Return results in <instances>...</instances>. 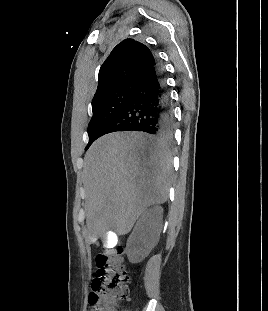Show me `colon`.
I'll return each mask as SVG.
<instances>
[{
  "mask_svg": "<svg viewBox=\"0 0 268 311\" xmlns=\"http://www.w3.org/2000/svg\"><path fill=\"white\" fill-rule=\"evenodd\" d=\"M121 247L107 249L103 244L95 257L97 277L92 282L89 303L92 311H115L117 303L128 296L129 277Z\"/></svg>",
  "mask_w": 268,
  "mask_h": 311,
  "instance_id": "1",
  "label": "colon"
}]
</instances>
